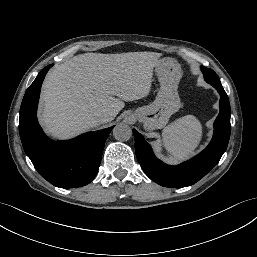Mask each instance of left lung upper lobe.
<instances>
[{
    "mask_svg": "<svg viewBox=\"0 0 257 257\" xmlns=\"http://www.w3.org/2000/svg\"><path fill=\"white\" fill-rule=\"evenodd\" d=\"M205 80L212 86H222L219 77L217 74L209 68L204 66L201 67Z\"/></svg>",
    "mask_w": 257,
    "mask_h": 257,
    "instance_id": "5c2ea615",
    "label": "left lung upper lobe"
}]
</instances>
